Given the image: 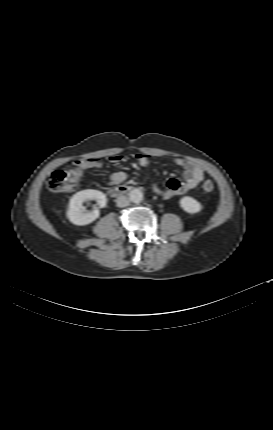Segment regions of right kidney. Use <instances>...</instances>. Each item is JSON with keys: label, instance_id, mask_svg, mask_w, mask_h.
I'll list each match as a JSON object with an SVG mask.
<instances>
[{"label": "right kidney", "instance_id": "1", "mask_svg": "<svg viewBox=\"0 0 273 430\" xmlns=\"http://www.w3.org/2000/svg\"><path fill=\"white\" fill-rule=\"evenodd\" d=\"M88 200H96L100 208L105 207L107 202L105 194L98 190L87 189L76 193L70 199L67 211V217L71 223L80 226L87 225L99 217L97 209L84 213L83 203Z\"/></svg>", "mask_w": 273, "mask_h": 430}]
</instances>
